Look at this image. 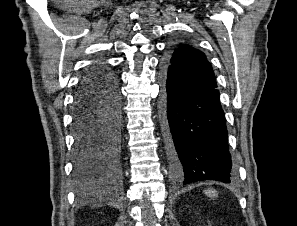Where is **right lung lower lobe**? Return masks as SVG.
<instances>
[{
	"label": "right lung lower lobe",
	"mask_w": 297,
	"mask_h": 226,
	"mask_svg": "<svg viewBox=\"0 0 297 226\" xmlns=\"http://www.w3.org/2000/svg\"><path fill=\"white\" fill-rule=\"evenodd\" d=\"M76 157L74 172L81 191L121 178V96L116 74L95 66L83 79L73 115Z\"/></svg>",
	"instance_id": "98d812e1"
}]
</instances>
